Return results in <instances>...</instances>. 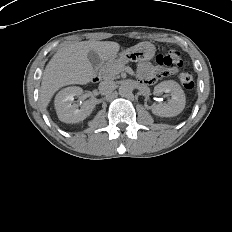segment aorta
Returning a JSON list of instances; mask_svg holds the SVG:
<instances>
[{"instance_id": "obj_1", "label": "aorta", "mask_w": 232, "mask_h": 232, "mask_svg": "<svg viewBox=\"0 0 232 232\" xmlns=\"http://www.w3.org/2000/svg\"><path fill=\"white\" fill-rule=\"evenodd\" d=\"M132 93V87L127 84V83H123L120 85L119 87V94L123 97H126L128 95H130Z\"/></svg>"}]
</instances>
